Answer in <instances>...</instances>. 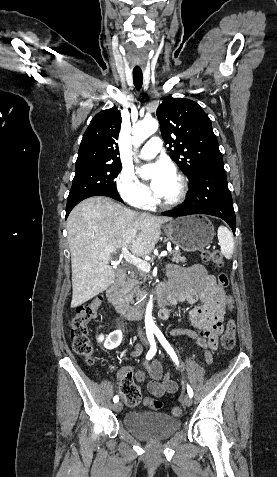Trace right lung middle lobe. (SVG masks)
Masks as SVG:
<instances>
[{
	"instance_id": "dd1d6c3e",
	"label": "right lung middle lobe",
	"mask_w": 277,
	"mask_h": 477,
	"mask_svg": "<svg viewBox=\"0 0 277 477\" xmlns=\"http://www.w3.org/2000/svg\"><path fill=\"white\" fill-rule=\"evenodd\" d=\"M121 171V163L90 164L77 167L67 199L66 211L92 196H119L114 179Z\"/></svg>"
}]
</instances>
